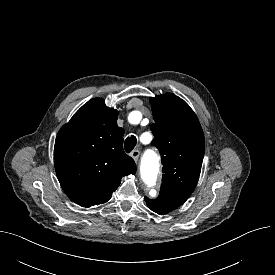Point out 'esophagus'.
<instances>
[{
  "label": "esophagus",
  "instance_id": "obj_1",
  "mask_svg": "<svg viewBox=\"0 0 275 275\" xmlns=\"http://www.w3.org/2000/svg\"><path fill=\"white\" fill-rule=\"evenodd\" d=\"M131 157L134 159L135 162L138 161L139 155H140V151L135 149L131 152Z\"/></svg>",
  "mask_w": 275,
  "mask_h": 275
}]
</instances>
